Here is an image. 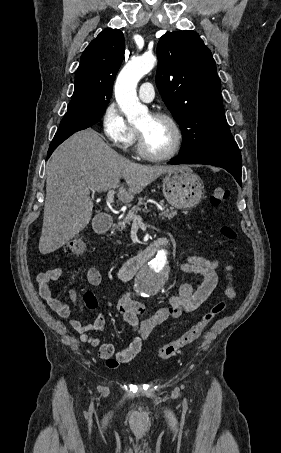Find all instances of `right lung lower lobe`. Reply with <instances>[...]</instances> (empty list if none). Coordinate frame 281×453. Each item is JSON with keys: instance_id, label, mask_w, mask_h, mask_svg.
I'll list each match as a JSON object with an SVG mask.
<instances>
[{"instance_id": "98d812e1", "label": "right lung lower lobe", "mask_w": 281, "mask_h": 453, "mask_svg": "<svg viewBox=\"0 0 281 453\" xmlns=\"http://www.w3.org/2000/svg\"><path fill=\"white\" fill-rule=\"evenodd\" d=\"M105 110L106 106L89 104L68 107V111L64 115L59 129L49 146L47 159L51 156L52 152L58 147V145H60L73 133L95 124L102 117Z\"/></svg>"}]
</instances>
